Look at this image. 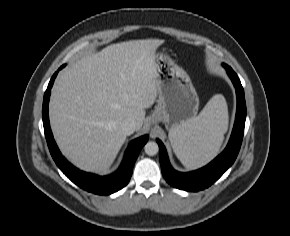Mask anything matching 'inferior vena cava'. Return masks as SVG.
<instances>
[{"label":"inferior vena cava","mask_w":290,"mask_h":236,"mask_svg":"<svg viewBox=\"0 0 290 236\" xmlns=\"http://www.w3.org/2000/svg\"><path fill=\"white\" fill-rule=\"evenodd\" d=\"M121 129L126 135H131L136 130V123L133 119H127L121 124Z\"/></svg>","instance_id":"inferior-vena-cava-1"}]
</instances>
